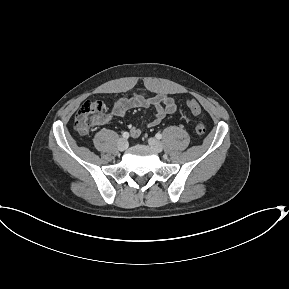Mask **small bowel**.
<instances>
[{
  "label": "small bowel",
  "instance_id": "1",
  "mask_svg": "<svg viewBox=\"0 0 289 289\" xmlns=\"http://www.w3.org/2000/svg\"><path fill=\"white\" fill-rule=\"evenodd\" d=\"M135 108H151L153 110V119L148 123L149 127L158 125L166 115L176 112V103L174 99L168 95H156L147 97L144 93H135L132 97H122L117 99L111 108V111L104 114L98 123H106L114 116H125L128 111ZM142 130L133 126L130 133L133 137H138Z\"/></svg>",
  "mask_w": 289,
  "mask_h": 289
}]
</instances>
